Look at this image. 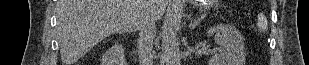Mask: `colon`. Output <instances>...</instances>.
Listing matches in <instances>:
<instances>
[{
  "label": "colon",
  "mask_w": 309,
  "mask_h": 65,
  "mask_svg": "<svg viewBox=\"0 0 309 65\" xmlns=\"http://www.w3.org/2000/svg\"><path fill=\"white\" fill-rule=\"evenodd\" d=\"M267 27V19L264 15H259L258 17V28L264 31Z\"/></svg>",
  "instance_id": "1"
}]
</instances>
